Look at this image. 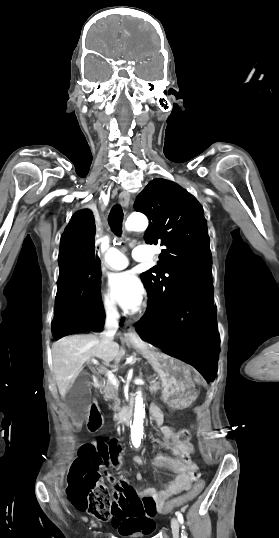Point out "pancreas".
<instances>
[{
	"mask_svg": "<svg viewBox=\"0 0 279 538\" xmlns=\"http://www.w3.org/2000/svg\"><path fill=\"white\" fill-rule=\"evenodd\" d=\"M147 387L149 388V392L157 393L159 391L157 380H147ZM101 394H103L104 400H106V402H116V400H118V394L117 392H115V388L112 382H110V380H106L105 386L104 388H102ZM112 408L113 410H116V404H114Z\"/></svg>",
	"mask_w": 279,
	"mask_h": 538,
	"instance_id": "pancreas-1",
	"label": "pancreas"
}]
</instances>
